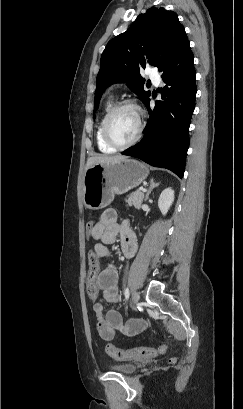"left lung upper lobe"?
I'll use <instances>...</instances> for the list:
<instances>
[{"label": "left lung upper lobe", "instance_id": "obj_1", "mask_svg": "<svg viewBox=\"0 0 243 409\" xmlns=\"http://www.w3.org/2000/svg\"><path fill=\"white\" fill-rule=\"evenodd\" d=\"M186 42L185 29L175 12L151 7L140 14L126 32L108 42L102 53L94 113L105 89L117 82H126L145 102L150 92L144 90L140 68L150 64L162 72Z\"/></svg>", "mask_w": 243, "mask_h": 409}]
</instances>
